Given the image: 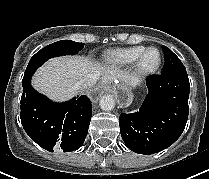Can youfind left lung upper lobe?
<instances>
[{
  "label": "left lung upper lobe",
  "mask_w": 209,
  "mask_h": 179,
  "mask_svg": "<svg viewBox=\"0 0 209 179\" xmlns=\"http://www.w3.org/2000/svg\"><path fill=\"white\" fill-rule=\"evenodd\" d=\"M165 64L161 74H170L186 70L180 59L166 46H162Z\"/></svg>",
  "instance_id": "obj_1"
}]
</instances>
